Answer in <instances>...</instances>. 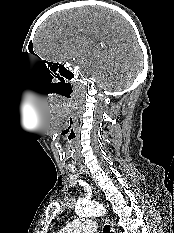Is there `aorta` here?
<instances>
[{"mask_svg": "<svg viewBox=\"0 0 174 233\" xmlns=\"http://www.w3.org/2000/svg\"><path fill=\"white\" fill-rule=\"evenodd\" d=\"M106 212L105 208L98 203L80 202L75 207V213L81 217L101 216Z\"/></svg>", "mask_w": 174, "mask_h": 233, "instance_id": "obj_1", "label": "aorta"}]
</instances>
